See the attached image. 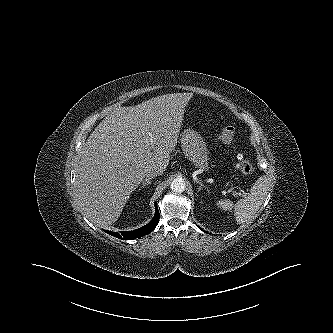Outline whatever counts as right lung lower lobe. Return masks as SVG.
I'll return each mask as SVG.
<instances>
[{
	"label": "right lung lower lobe",
	"mask_w": 333,
	"mask_h": 333,
	"mask_svg": "<svg viewBox=\"0 0 333 333\" xmlns=\"http://www.w3.org/2000/svg\"><path fill=\"white\" fill-rule=\"evenodd\" d=\"M156 206V213H155V216L154 218L151 220L150 223H148L147 225L139 228V229H136L134 231H122L120 233L118 232H112V231H105L106 233L114 236V237H117L119 239H124V240H130V239H135V238H139V237H142L144 235H147L149 233H151L155 227L157 226L158 222H159V211H158V208H157V204H155Z\"/></svg>",
	"instance_id": "1"
}]
</instances>
